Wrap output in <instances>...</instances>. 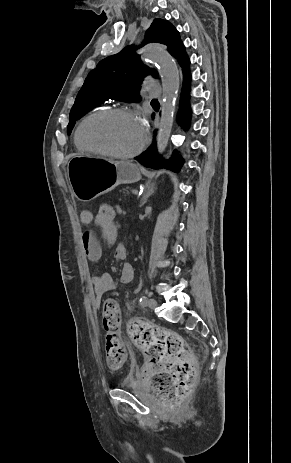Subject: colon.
<instances>
[{
	"label": "colon",
	"mask_w": 291,
	"mask_h": 463,
	"mask_svg": "<svg viewBox=\"0 0 291 463\" xmlns=\"http://www.w3.org/2000/svg\"><path fill=\"white\" fill-rule=\"evenodd\" d=\"M98 225L114 226L118 209L107 202L97 203ZM122 314L113 300L105 301L102 322L107 332L105 340L106 362L109 368L119 369L126 361V351L120 334ZM130 333L147 356L143 368L149 379L151 393L173 407L192 387L195 369L190 350L176 332L142 321L131 322Z\"/></svg>",
	"instance_id": "obj_1"
}]
</instances>
